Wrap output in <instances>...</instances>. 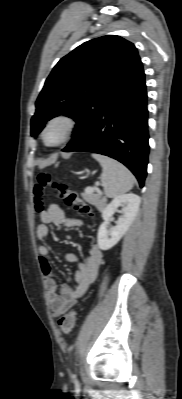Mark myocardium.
I'll return each mask as SVG.
<instances>
[{
  "mask_svg": "<svg viewBox=\"0 0 182 399\" xmlns=\"http://www.w3.org/2000/svg\"><path fill=\"white\" fill-rule=\"evenodd\" d=\"M56 123H60L64 126V134H63L62 139L59 142H57L55 144H49L46 141V132L50 126H52L53 124H56ZM76 129H77V120L74 116H72L69 113H64V112L55 114L46 121V123L43 127L42 134H41L43 143L48 147L61 146L72 138V136L76 132Z\"/></svg>",
  "mask_w": 182,
  "mask_h": 399,
  "instance_id": "f54148a6",
  "label": "myocardium"
}]
</instances>
